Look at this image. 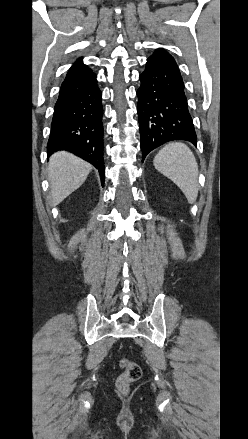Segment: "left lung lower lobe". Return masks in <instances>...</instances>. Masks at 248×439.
Returning a JSON list of instances; mask_svg holds the SVG:
<instances>
[{"mask_svg": "<svg viewBox=\"0 0 248 439\" xmlns=\"http://www.w3.org/2000/svg\"><path fill=\"white\" fill-rule=\"evenodd\" d=\"M138 119L142 162L149 152L172 140L197 143L184 83L174 58L163 49L148 59L139 75Z\"/></svg>", "mask_w": 248, "mask_h": 439, "instance_id": "1", "label": "left lung lower lobe"}]
</instances>
